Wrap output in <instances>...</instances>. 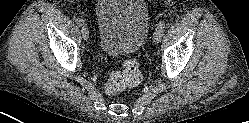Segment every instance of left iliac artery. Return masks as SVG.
<instances>
[{"instance_id":"obj_1","label":"left iliac artery","mask_w":249,"mask_h":123,"mask_svg":"<svg viewBox=\"0 0 249 123\" xmlns=\"http://www.w3.org/2000/svg\"><path fill=\"white\" fill-rule=\"evenodd\" d=\"M158 28L161 29L162 31L165 29V22L164 21H160L158 23Z\"/></svg>"}]
</instances>
